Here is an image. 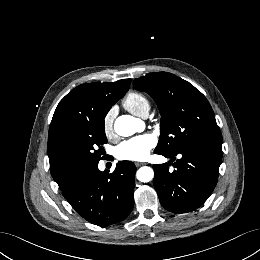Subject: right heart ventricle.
Here are the masks:
<instances>
[{
  "mask_svg": "<svg viewBox=\"0 0 260 260\" xmlns=\"http://www.w3.org/2000/svg\"><path fill=\"white\" fill-rule=\"evenodd\" d=\"M124 107L131 113L142 116L145 111L150 109L149 99L140 92H130L123 101Z\"/></svg>",
  "mask_w": 260,
  "mask_h": 260,
  "instance_id": "1",
  "label": "right heart ventricle"
}]
</instances>
